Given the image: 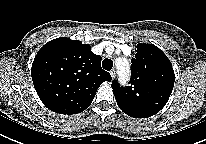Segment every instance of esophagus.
Returning a JSON list of instances; mask_svg holds the SVG:
<instances>
[{
  "label": "esophagus",
  "mask_w": 206,
  "mask_h": 144,
  "mask_svg": "<svg viewBox=\"0 0 206 144\" xmlns=\"http://www.w3.org/2000/svg\"><path fill=\"white\" fill-rule=\"evenodd\" d=\"M110 75H111L112 79L115 78V76H116V71H115V69H112V70L110 71Z\"/></svg>",
  "instance_id": "1"
}]
</instances>
